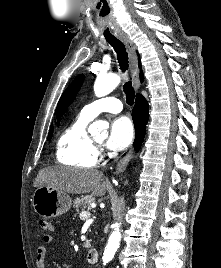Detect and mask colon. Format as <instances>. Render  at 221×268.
Segmentation results:
<instances>
[{
  "instance_id": "obj_1",
  "label": "colon",
  "mask_w": 221,
  "mask_h": 268,
  "mask_svg": "<svg viewBox=\"0 0 221 268\" xmlns=\"http://www.w3.org/2000/svg\"><path fill=\"white\" fill-rule=\"evenodd\" d=\"M39 224L41 228L46 232H50L53 229L52 223L47 220H40Z\"/></svg>"
}]
</instances>
